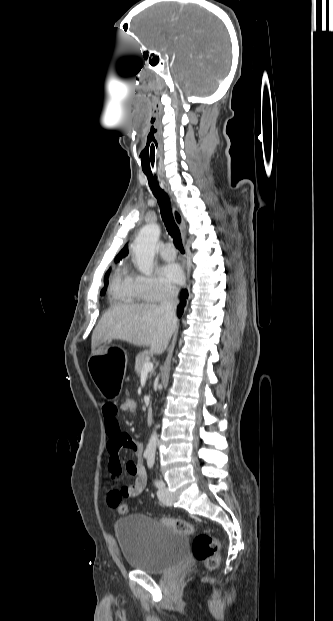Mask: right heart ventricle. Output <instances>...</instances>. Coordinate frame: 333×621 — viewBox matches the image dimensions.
<instances>
[{
    "label": "right heart ventricle",
    "instance_id": "1",
    "mask_svg": "<svg viewBox=\"0 0 333 621\" xmlns=\"http://www.w3.org/2000/svg\"><path fill=\"white\" fill-rule=\"evenodd\" d=\"M109 295L113 301L120 303H137L143 300L136 289L134 276L124 265L115 271L110 283Z\"/></svg>",
    "mask_w": 333,
    "mask_h": 621
}]
</instances>
